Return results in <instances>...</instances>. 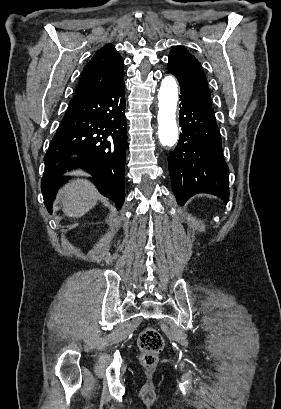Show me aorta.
<instances>
[{
  "label": "aorta",
  "mask_w": 281,
  "mask_h": 409,
  "mask_svg": "<svg viewBox=\"0 0 281 409\" xmlns=\"http://www.w3.org/2000/svg\"><path fill=\"white\" fill-rule=\"evenodd\" d=\"M158 135L163 146L172 147L178 139L176 109L178 87L173 76H166L161 82L158 92Z\"/></svg>",
  "instance_id": "obj_1"
}]
</instances>
